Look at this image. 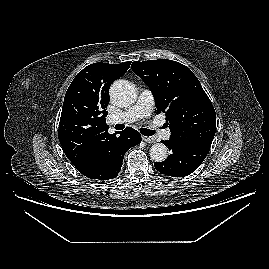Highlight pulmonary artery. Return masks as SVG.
<instances>
[{
    "label": "pulmonary artery",
    "mask_w": 269,
    "mask_h": 269,
    "mask_svg": "<svg viewBox=\"0 0 269 269\" xmlns=\"http://www.w3.org/2000/svg\"><path fill=\"white\" fill-rule=\"evenodd\" d=\"M154 97L149 90L141 91L136 103L118 115L109 116V122L112 124L116 123H129L134 122L138 119L148 117L153 109ZM159 136L168 139L170 138V130H161Z\"/></svg>",
    "instance_id": "e3ab8cb5"
}]
</instances>
